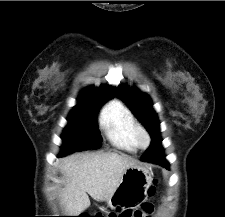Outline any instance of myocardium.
I'll use <instances>...</instances> for the list:
<instances>
[{"instance_id":"1","label":"myocardium","mask_w":225,"mask_h":217,"mask_svg":"<svg viewBox=\"0 0 225 217\" xmlns=\"http://www.w3.org/2000/svg\"><path fill=\"white\" fill-rule=\"evenodd\" d=\"M135 139L139 147L147 148L151 143V137L148 131L142 126H136Z\"/></svg>"}]
</instances>
